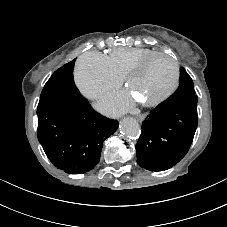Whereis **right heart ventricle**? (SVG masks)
Segmentation results:
<instances>
[{"label": "right heart ventricle", "mask_w": 227, "mask_h": 227, "mask_svg": "<svg viewBox=\"0 0 227 227\" xmlns=\"http://www.w3.org/2000/svg\"><path fill=\"white\" fill-rule=\"evenodd\" d=\"M154 52L157 51L149 48L119 47L110 51L107 58L113 70L123 78L132 66Z\"/></svg>", "instance_id": "e07e8e85"}]
</instances>
